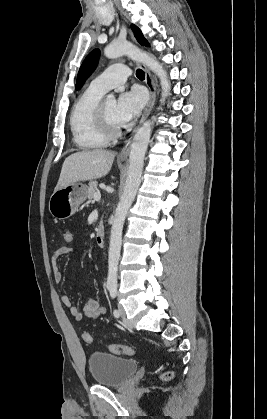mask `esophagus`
I'll return each instance as SVG.
<instances>
[{"label": "esophagus", "instance_id": "1", "mask_svg": "<svg viewBox=\"0 0 267 419\" xmlns=\"http://www.w3.org/2000/svg\"><path fill=\"white\" fill-rule=\"evenodd\" d=\"M143 69L145 72V83L149 89V101L147 103V106L145 108V111L142 115V118L140 120V125L146 120V118L148 117V115L150 114L153 105L155 103L156 100V84H155V80L152 76V74L150 73L149 69L143 65ZM136 132V130L133 131V133L131 134V136L125 141V144L123 146V148L121 149L118 158L120 159H126L129 156V152H130V148H131V142H132V138L134 133Z\"/></svg>", "mask_w": 267, "mask_h": 419}]
</instances>
